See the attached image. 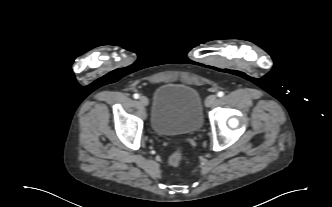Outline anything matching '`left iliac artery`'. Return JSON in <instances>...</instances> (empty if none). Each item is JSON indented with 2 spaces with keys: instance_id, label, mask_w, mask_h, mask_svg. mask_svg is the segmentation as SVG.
I'll list each match as a JSON object with an SVG mask.
<instances>
[{
  "instance_id": "obj_1",
  "label": "left iliac artery",
  "mask_w": 332,
  "mask_h": 207,
  "mask_svg": "<svg viewBox=\"0 0 332 207\" xmlns=\"http://www.w3.org/2000/svg\"><path fill=\"white\" fill-rule=\"evenodd\" d=\"M217 96H218V97H223V96H224V92H223V91H219V92L217 93Z\"/></svg>"
}]
</instances>
